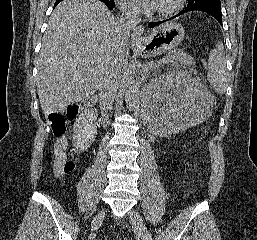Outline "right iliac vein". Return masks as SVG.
Segmentation results:
<instances>
[{
	"mask_svg": "<svg viewBox=\"0 0 257 240\" xmlns=\"http://www.w3.org/2000/svg\"><path fill=\"white\" fill-rule=\"evenodd\" d=\"M104 216H105L104 210H101L100 212H98L91 223V228L95 229L96 227H98L102 223Z\"/></svg>",
	"mask_w": 257,
	"mask_h": 240,
	"instance_id": "right-iliac-vein-1",
	"label": "right iliac vein"
}]
</instances>
